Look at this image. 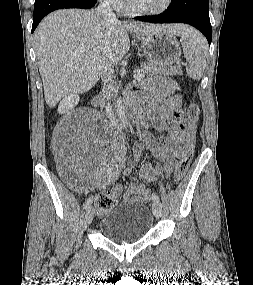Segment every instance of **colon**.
I'll use <instances>...</instances> for the list:
<instances>
[{"mask_svg": "<svg viewBox=\"0 0 253 285\" xmlns=\"http://www.w3.org/2000/svg\"><path fill=\"white\" fill-rule=\"evenodd\" d=\"M200 108L198 104L192 102L189 104L186 110L187 121L190 124L191 140L185 149L176 169L174 172V182H180L186 175L194 155L195 147V131L199 121ZM151 191L147 190L145 193L146 198H150ZM117 199L111 192L101 193L97 196L95 204L99 212L103 213L107 209L113 207L116 204Z\"/></svg>", "mask_w": 253, "mask_h": 285, "instance_id": "colon-1", "label": "colon"}]
</instances>
